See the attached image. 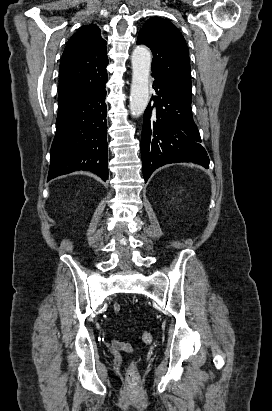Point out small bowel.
Returning a JSON list of instances; mask_svg holds the SVG:
<instances>
[{
    "instance_id": "c3829d8e",
    "label": "small bowel",
    "mask_w": 272,
    "mask_h": 411,
    "mask_svg": "<svg viewBox=\"0 0 272 411\" xmlns=\"http://www.w3.org/2000/svg\"><path fill=\"white\" fill-rule=\"evenodd\" d=\"M112 308L115 313H118L120 311V305L117 303L114 304ZM110 346L114 351H125V352L132 351V346L129 343L119 341V340L111 341Z\"/></svg>"
}]
</instances>
